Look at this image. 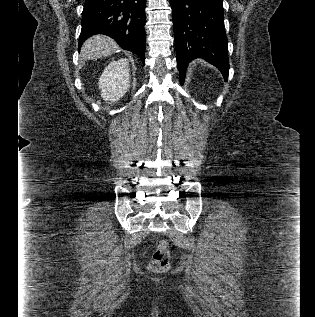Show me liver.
<instances>
[{
	"mask_svg": "<svg viewBox=\"0 0 315 317\" xmlns=\"http://www.w3.org/2000/svg\"><path fill=\"white\" fill-rule=\"evenodd\" d=\"M119 49L117 43L103 35L90 37L81 48L82 59H98L109 56Z\"/></svg>",
	"mask_w": 315,
	"mask_h": 317,
	"instance_id": "liver-1",
	"label": "liver"
}]
</instances>
